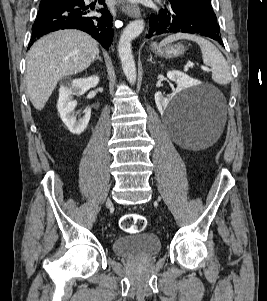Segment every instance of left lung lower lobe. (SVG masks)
<instances>
[{
  "label": "left lung lower lobe",
  "instance_id": "obj_1",
  "mask_svg": "<svg viewBox=\"0 0 267 301\" xmlns=\"http://www.w3.org/2000/svg\"><path fill=\"white\" fill-rule=\"evenodd\" d=\"M163 6L158 13L151 15L146 38L183 32L207 36L223 45L217 21L178 2L163 3Z\"/></svg>",
  "mask_w": 267,
  "mask_h": 301
}]
</instances>
